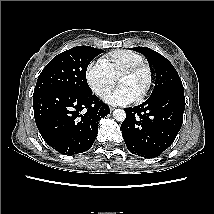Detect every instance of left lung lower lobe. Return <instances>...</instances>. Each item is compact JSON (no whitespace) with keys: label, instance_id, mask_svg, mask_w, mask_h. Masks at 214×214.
<instances>
[{"label":"left lung lower lobe","instance_id":"obj_1","mask_svg":"<svg viewBox=\"0 0 214 214\" xmlns=\"http://www.w3.org/2000/svg\"><path fill=\"white\" fill-rule=\"evenodd\" d=\"M184 109L183 90L168 91L139 106L125 108L121 127L128 150L145 158L158 157L175 140Z\"/></svg>","mask_w":214,"mask_h":214}]
</instances>
